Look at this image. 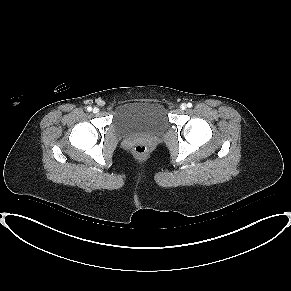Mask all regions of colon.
Instances as JSON below:
<instances>
[{
  "label": "colon",
  "instance_id": "1",
  "mask_svg": "<svg viewBox=\"0 0 291 291\" xmlns=\"http://www.w3.org/2000/svg\"><path fill=\"white\" fill-rule=\"evenodd\" d=\"M132 154L137 159H144L148 155V148L145 144L139 143L133 147Z\"/></svg>",
  "mask_w": 291,
  "mask_h": 291
}]
</instances>
